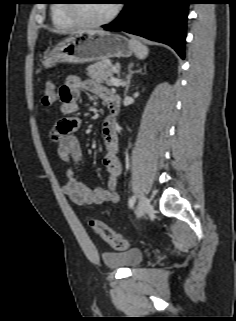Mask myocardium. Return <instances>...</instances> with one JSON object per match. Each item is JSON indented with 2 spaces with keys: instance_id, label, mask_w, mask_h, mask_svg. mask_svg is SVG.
<instances>
[{
  "instance_id": "myocardium-1",
  "label": "myocardium",
  "mask_w": 236,
  "mask_h": 321,
  "mask_svg": "<svg viewBox=\"0 0 236 321\" xmlns=\"http://www.w3.org/2000/svg\"><path fill=\"white\" fill-rule=\"evenodd\" d=\"M82 1L86 0H69L71 3H68L67 8L69 15L77 21L78 24L86 27H101L107 25L117 17L121 10V5L119 3H114L113 9L107 17L101 20H90L82 14Z\"/></svg>"
}]
</instances>
